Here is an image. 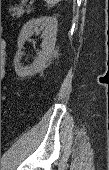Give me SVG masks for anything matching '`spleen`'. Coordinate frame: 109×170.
Wrapping results in <instances>:
<instances>
[{
  "mask_svg": "<svg viewBox=\"0 0 109 170\" xmlns=\"http://www.w3.org/2000/svg\"><path fill=\"white\" fill-rule=\"evenodd\" d=\"M44 1L49 5H54L58 2H60L61 0H44Z\"/></svg>",
  "mask_w": 109,
  "mask_h": 170,
  "instance_id": "1",
  "label": "spleen"
}]
</instances>
